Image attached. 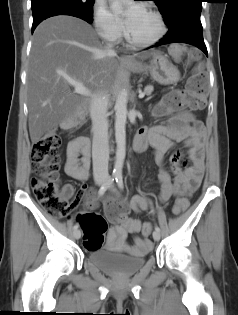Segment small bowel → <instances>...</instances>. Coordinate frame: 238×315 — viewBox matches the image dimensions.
Here are the masks:
<instances>
[{
	"mask_svg": "<svg viewBox=\"0 0 238 315\" xmlns=\"http://www.w3.org/2000/svg\"><path fill=\"white\" fill-rule=\"evenodd\" d=\"M206 131L199 121L191 120L188 125L179 129H170L165 125H153L149 128H141L135 135L139 152L150 148L156 162L159 165V201L168 202L176 195H190L200 184L204 173L203 143ZM173 141H185L189 149V157L192 164L181 171L186 165L182 151H176L171 158V171L174 174L173 182L169 172L165 168V156L173 147ZM91 166L90 142L87 138H78L69 143L67 147L65 172L68 176L78 181H86L89 178ZM74 188L70 184L62 187L60 195L67 200L72 197ZM81 191L73 205L79 203L83 197ZM89 208H93L95 201L87 200ZM132 211L140 213L149 207V202L140 196H134L127 203ZM144 224L139 219H124L120 224L112 226L108 231L110 246H119L128 233H136ZM152 247L150 239L134 238V244L128 248L132 255H142Z\"/></svg>",
	"mask_w": 238,
	"mask_h": 315,
	"instance_id": "obj_1",
	"label": "small bowel"
}]
</instances>
